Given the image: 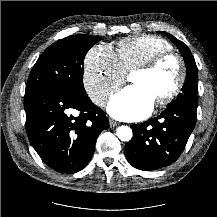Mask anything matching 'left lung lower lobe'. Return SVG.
Wrapping results in <instances>:
<instances>
[{
	"instance_id": "0a47b994",
	"label": "left lung lower lobe",
	"mask_w": 217,
	"mask_h": 217,
	"mask_svg": "<svg viewBox=\"0 0 217 217\" xmlns=\"http://www.w3.org/2000/svg\"><path fill=\"white\" fill-rule=\"evenodd\" d=\"M197 106H169L158 117L132 126L133 137L125 146L128 162L151 171L174 163L183 152L196 124Z\"/></svg>"
}]
</instances>
